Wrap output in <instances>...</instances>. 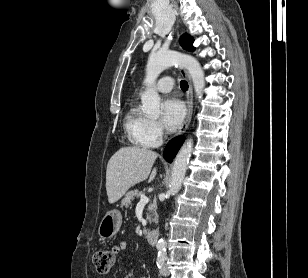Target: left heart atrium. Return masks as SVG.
I'll use <instances>...</instances> for the list:
<instances>
[{
	"label": "left heart atrium",
	"instance_id": "1",
	"mask_svg": "<svg viewBox=\"0 0 308 278\" xmlns=\"http://www.w3.org/2000/svg\"><path fill=\"white\" fill-rule=\"evenodd\" d=\"M185 117V107L177 99H167L162 105V124L169 130H176L183 122Z\"/></svg>",
	"mask_w": 308,
	"mask_h": 278
}]
</instances>
